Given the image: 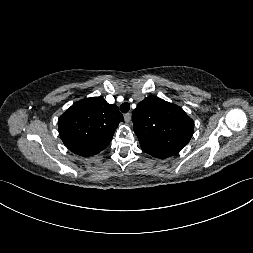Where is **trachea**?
<instances>
[{"mask_svg": "<svg viewBox=\"0 0 253 253\" xmlns=\"http://www.w3.org/2000/svg\"><path fill=\"white\" fill-rule=\"evenodd\" d=\"M130 109V104L128 102H124L120 105V110L123 113H127Z\"/></svg>", "mask_w": 253, "mask_h": 253, "instance_id": "3493384b", "label": "trachea"}]
</instances>
